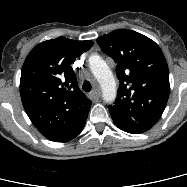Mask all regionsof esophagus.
<instances>
[{"label":"esophagus","instance_id":"34e87169","mask_svg":"<svg viewBox=\"0 0 187 187\" xmlns=\"http://www.w3.org/2000/svg\"><path fill=\"white\" fill-rule=\"evenodd\" d=\"M100 96H101V92L99 89L93 90L89 95L90 99L93 101H97L100 98Z\"/></svg>","mask_w":187,"mask_h":187}]
</instances>
